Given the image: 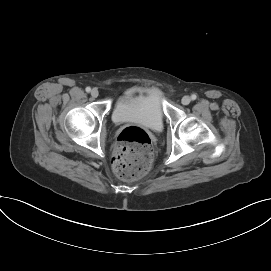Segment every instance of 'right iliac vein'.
Masks as SVG:
<instances>
[{
	"label": "right iliac vein",
	"mask_w": 271,
	"mask_h": 271,
	"mask_svg": "<svg viewBox=\"0 0 271 271\" xmlns=\"http://www.w3.org/2000/svg\"><path fill=\"white\" fill-rule=\"evenodd\" d=\"M98 95H99L98 90H97L96 88L92 89V91H91V96H92L93 98H97Z\"/></svg>",
	"instance_id": "1"
}]
</instances>
